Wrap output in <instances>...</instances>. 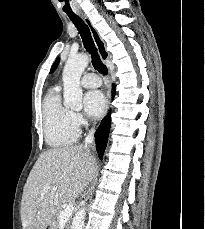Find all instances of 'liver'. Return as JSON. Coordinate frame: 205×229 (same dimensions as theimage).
I'll use <instances>...</instances> for the list:
<instances>
[{
	"label": "liver",
	"instance_id": "1",
	"mask_svg": "<svg viewBox=\"0 0 205 229\" xmlns=\"http://www.w3.org/2000/svg\"><path fill=\"white\" fill-rule=\"evenodd\" d=\"M95 172L96 159L83 146H66L43 152L23 190L21 220L24 229H46L60 206L75 199Z\"/></svg>",
	"mask_w": 205,
	"mask_h": 229
}]
</instances>
